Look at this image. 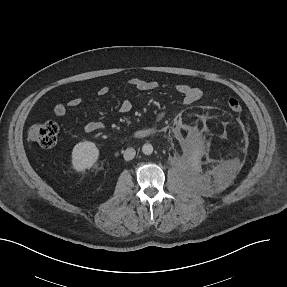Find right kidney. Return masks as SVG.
I'll return each mask as SVG.
<instances>
[{
    "label": "right kidney",
    "mask_w": 287,
    "mask_h": 287,
    "mask_svg": "<svg viewBox=\"0 0 287 287\" xmlns=\"http://www.w3.org/2000/svg\"><path fill=\"white\" fill-rule=\"evenodd\" d=\"M99 157V150L95 143L83 141L76 144L72 150V167L76 171L90 169Z\"/></svg>",
    "instance_id": "right-kidney-1"
}]
</instances>
